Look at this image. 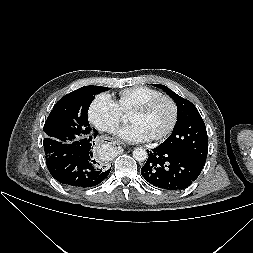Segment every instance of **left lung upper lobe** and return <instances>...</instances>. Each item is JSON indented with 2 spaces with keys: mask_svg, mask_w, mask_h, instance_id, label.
Returning a JSON list of instances; mask_svg holds the SVG:
<instances>
[{
  "mask_svg": "<svg viewBox=\"0 0 253 253\" xmlns=\"http://www.w3.org/2000/svg\"><path fill=\"white\" fill-rule=\"evenodd\" d=\"M165 91L176 102L177 122L172 134L161 144L162 147L189 155L205 163L208 152V137L205 124L197 108L187 99L177 95L164 85L153 84Z\"/></svg>",
  "mask_w": 253,
  "mask_h": 253,
  "instance_id": "5c2ea615",
  "label": "left lung upper lobe"
}]
</instances>
